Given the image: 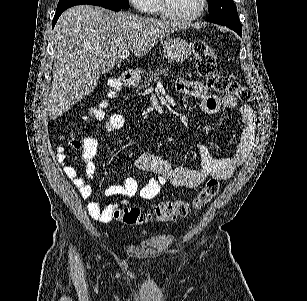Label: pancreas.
Returning a JSON list of instances; mask_svg holds the SVG:
<instances>
[{
	"label": "pancreas",
	"instance_id": "1",
	"mask_svg": "<svg viewBox=\"0 0 307 301\" xmlns=\"http://www.w3.org/2000/svg\"><path fill=\"white\" fill-rule=\"evenodd\" d=\"M168 70L169 68H156V70L146 72V76H144V80L141 82V84H139L138 88H148L150 84L160 80V74H163V76H168Z\"/></svg>",
	"mask_w": 307,
	"mask_h": 301
}]
</instances>
